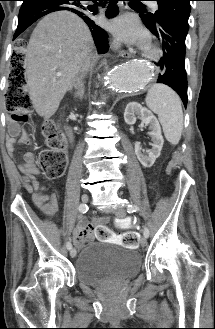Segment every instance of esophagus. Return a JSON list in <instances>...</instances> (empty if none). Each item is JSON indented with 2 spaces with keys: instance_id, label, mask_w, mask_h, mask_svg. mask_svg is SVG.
I'll use <instances>...</instances> for the list:
<instances>
[{
  "instance_id": "esophagus-1",
  "label": "esophagus",
  "mask_w": 215,
  "mask_h": 329,
  "mask_svg": "<svg viewBox=\"0 0 215 329\" xmlns=\"http://www.w3.org/2000/svg\"><path fill=\"white\" fill-rule=\"evenodd\" d=\"M122 6H123V8L126 9L127 8V3H123ZM119 54H120L121 57H124V58H129L132 55V53L127 51V50H121L119 52Z\"/></svg>"
}]
</instances>
